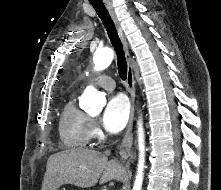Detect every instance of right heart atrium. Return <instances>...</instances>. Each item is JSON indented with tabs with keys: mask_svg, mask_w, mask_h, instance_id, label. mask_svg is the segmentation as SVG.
<instances>
[{
	"mask_svg": "<svg viewBox=\"0 0 221 190\" xmlns=\"http://www.w3.org/2000/svg\"><path fill=\"white\" fill-rule=\"evenodd\" d=\"M100 129L95 122H91L90 125V135L91 139L98 140L100 138Z\"/></svg>",
	"mask_w": 221,
	"mask_h": 190,
	"instance_id": "d8ad5b80",
	"label": "right heart atrium"
}]
</instances>
